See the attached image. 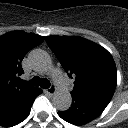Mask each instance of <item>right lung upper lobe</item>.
Masks as SVG:
<instances>
[{"label": "right lung upper lobe", "instance_id": "cb5924a9", "mask_svg": "<svg viewBox=\"0 0 128 128\" xmlns=\"http://www.w3.org/2000/svg\"><path fill=\"white\" fill-rule=\"evenodd\" d=\"M43 36L13 31L0 36V112L34 87L20 82L21 61L29 50L41 44Z\"/></svg>", "mask_w": 128, "mask_h": 128}]
</instances>
